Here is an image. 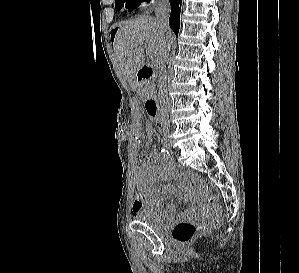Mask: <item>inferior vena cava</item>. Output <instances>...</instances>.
Wrapping results in <instances>:
<instances>
[{"mask_svg":"<svg viewBox=\"0 0 299 273\" xmlns=\"http://www.w3.org/2000/svg\"><path fill=\"white\" fill-rule=\"evenodd\" d=\"M155 15L156 20L163 31V33H168L169 25L168 19L170 15V4L168 0H158L155 5ZM170 52V44H168L160 56V76H159V84L161 89L160 96V107L161 114L166 115L169 109V100L166 92L167 81H166V60L169 56ZM164 129L167 130V126H164Z\"/></svg>","mask_w":299,"mask_h":273,"instance_id":"1","label":"inferior vena cava"}]
</instances>
